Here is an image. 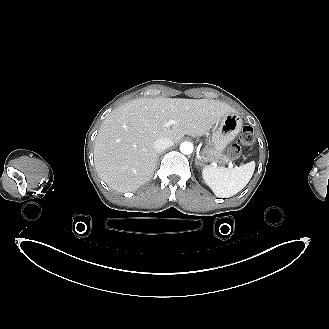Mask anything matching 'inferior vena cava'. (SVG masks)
Returning <instances> with one entry per match:
<instances>
[{
  "label": "inferior vena cava",
  "instance_id": "602c4592",
  "mask_svg": "<svg viewBox=\"0 0 329 329\" xmlns=\"http://www.w3.org/2000/svg\"><path fill=\"white\" fill-rule=\"evenodd\" d=\"M172 145H173V141L170 138L161 137L154 142V149L159 153L171 147Z\"/></svg>",
  "mask_w": 329,
  "mask_h": 329
}]
</instances>
